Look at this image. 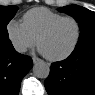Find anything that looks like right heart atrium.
<instances>
[{
    "instance_id": "1",
    "label": "right heart atrium",
    "mask_w": 95,
    "mask_h": 95,
    "mask_svg": "<svg viewBox=\"0 0 95 95\" xmlns=\"http://www.w3.org/2000/svg\"><path fill=\"white\" fill-rule=\"evenodd\" d=\"M7 36L13 47L20 53L26 52L36 44L23 23L16 20H10L6 25Z\"/></svg>"
}]
</instances>
